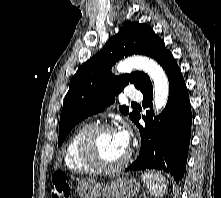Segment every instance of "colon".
Instances as JSON below:
<instances>
[{
	"mask_svg": "<svg viewBox=\"0 0 221 198\" xmlns=\"http://www.w3.org/2000/svg\"><path fill=\"white\" fill-rule=\"evenodd\" d=\"M52 183V198H71V186L64 173H55L52 178Z\"/></svg>",
	"mask_w": 221,
	"mask_h": 198,
	"instance_id": "1",
	"label": "colon"
}]
</instances>
